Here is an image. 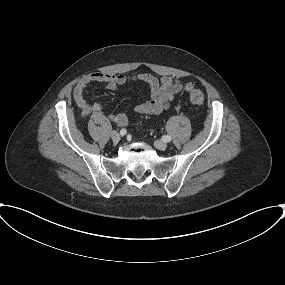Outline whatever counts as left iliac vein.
<instances>
[{
    "label": "left iliac vein",
    "instance_id": "obj_1",
    "mask_svg": "<svg viewBox=\"0 0 285 285\" xmlns=\"http://www.w3.org/2000/svg\"><path fill=\"white\" fill-rule=\"evenodd\" d=\"M154 146L159 150H165L167 148V143L165 141L157 140L154 142Z\"/></svg>",
    "mask_w": 285,
    "mask_h": 285
}]
</instances>
